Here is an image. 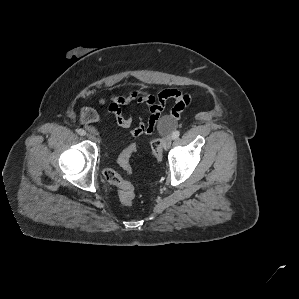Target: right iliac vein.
<instances>
[{
    "instance_id": "right-iliac-vein-1",
    "label": "right iliac vein",
    "mask_w": 299,
    "mask_h": 299,
    "mask_svg": "<svg viewBox=\"0 0 299 299\" xmlns=\"http://www.w3.org/2000/svg\"><path fill=\"white\" fill-rule=\"evenodd\" d=\"M90 140H95V136L94 135H92V134H87L86 135Z\"/></svg>"
}]
</instances>
